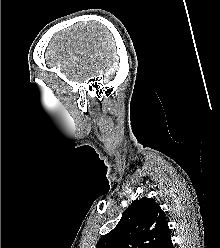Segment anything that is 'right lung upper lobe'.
I'll list each match as a JSON object with an SVG mask.
<instances>
[{
    "label": "right lung upper lobe",
    "mask_w": 220,
    "mask_h": 248,
    "mask_svg": "<svg viewBox=\"0 0 220 248\" xmlns=\"http://www.w3.org/2000/svg\"><path fill=\"white\" fill-rule=\"evenodd\" d=\"M170 236L166 217L152 198L135 200L96 248H160Z\"/></svg>",
    "instance_id": "obj_1"
}]
</instances>
